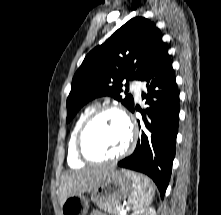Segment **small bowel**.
Segmentation results:
<instances>
[{"instance_id": "obj_1", "label": "small bowel", "mask_w": 221, "mask_h": 215, "mask_svg": "<svg viewBox=\"0 0 221 215\" xmlns=\"http://www.w3.org/2000/svg\"><path fill=\"white\" fill-rule=\"evenodd\" d=\"M91 215H105V214H103V213H101V212L96 211V212H93Z\"/></svg>"}]
</instances>
